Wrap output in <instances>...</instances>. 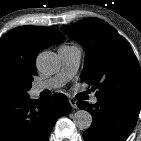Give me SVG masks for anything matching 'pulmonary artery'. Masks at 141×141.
Here are the masks:
<instances>
[{
	"mask_svg": "<svg viewBox=\"0 0 141 141\" xmlns=\"http://www.w3.org/2000/svg\"><path fill=\"white\" fill-rule=\"evenodd\" d=\"M58 55L62 62L61 70L49 78L33 87V94L38 95L44 90H53L64 86L77 71L81 60V49L78 46H61ZM97 97L93 96L92 103L97 102Z\"/></svg>",
	"mask_w": 141,
	"mask_h": 141,
	"instance_id": "obj_1",
	"label": "pulmonary artery"
}]
</instances>
